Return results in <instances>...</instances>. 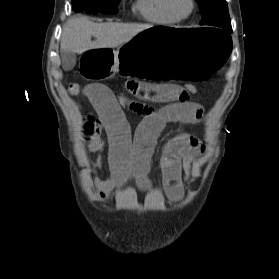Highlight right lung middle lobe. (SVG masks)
<instances>
[{
	"mask_svg": "<svg viewBox=\"0 0 279 279\" xmlns=\"http://www.w3.org/2000/svg\"><path fill=\"white\" fill-rule=\"evenodd\" d=\"M120 0H72L75 12L91 13H117V5Z\"/></svg>",
	"mask_w": 279,
	"mask_h": 279,
	"instance_id": "right-lung-middle-lobe-1",
	"label": "right lung middle lobe"
}]
</instances>
